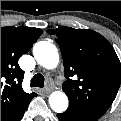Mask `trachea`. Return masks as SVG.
<instances>
[{
	"mask_svg": "<svg viewBox=\"0 0 121 121\" xmlns=\"http://www.w3.org/2000/svg\"><path fill=\"white\" fill-rule=\"evenodd\" d=\"M44 83H45V80H44L43 75L38 73V74L34 75V77L31 79V84L30 85L32 87L43 88Z\"/></svg>",
	"mask_w": 121,
	"mask_h": 121,
	"instance_id": "obj_1",
	"label": "trachea"
}]
</instances>
